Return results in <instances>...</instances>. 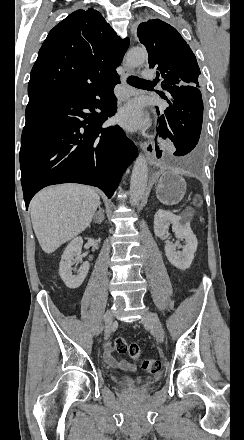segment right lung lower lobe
<instances>
[{"mask_svg": "<svg viewBox=\"0 0 244 440\" xmlns=\"http://www.w3.org/2000/svg\"><path fill=\"white\" fill-rule=\"evenodd\" d=\"M118 83L116 73L76 92L29 98L19 153L26 209L40 189L52 184L92 185L111 198L121 173L137 156L118 125L101 127L116 112L113 88Z\"/></svg>", "mask_w": 244, "mask_h": 440, "instance_id": "right-lung-lower-lobe-1", "label": "right lung lower lobe"}]
</instances>
